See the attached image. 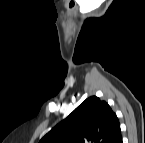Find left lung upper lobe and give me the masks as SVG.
<instances>
[{
	"label": "left lung upper lobe",
	"mask_w": 145,
	"mask_h": 143,
	"mask_svg": "<svg viewBox=\"0 0 145 143\" xmlns=\"http://www.w3.org/2000/svg\"><path fill=\"white\" fill-rule=\"evenodd\" d=\"M119 120L110 106L92 96L48 132L40 143H116Z\"/></svg>",
	"instance_id": "5c2ea615"
}]
</instances>
